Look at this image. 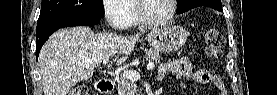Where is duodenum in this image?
Masks as SVG:
<instances>
[{"label":"duodenum","mask_w":277,"mask_h":95,"mask_svg":"<svg viewBox=\"0 0 277 95\" xmlns=\"http://www.w3.org/2000/svg\"><path fill=\"white\" fill-rule=\"evenodd\" d=\"M96 88L100 93L108 94L114 88V81L109 79H99L96 82Z\"/></svg>","instance_id":"duodenum-1"}]
</instances>
